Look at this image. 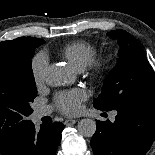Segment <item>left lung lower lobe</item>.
<instances>
[{
	"mask_svg": "<svg viewBox=\"0 0 155 155\" xmlns=\"http://www.w3.org/2000/svg\"><path fill=\"white\" fill-rule=\"evenodd\" d=\"M116 110L115 122H96L90 142L94 154L145 155L155 138V97L136 100Z\"/></svg>",
	"mask_w": 155,
	"mask_h": 155,
	"instance_id": "0a47b994",
	"label": "left lung lower lobe"
}]
</instances>
